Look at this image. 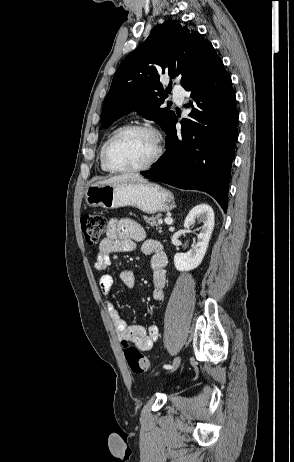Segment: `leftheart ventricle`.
I'll return each instance as SVG.
<instances>
[{
    "label": "left heart ventricle",
    "mask_w": 294,
    "mask_h": 462,
    "mask_svg": "<svg viewBox=\"0 0 294 462\" xmlns=\"http://www.w3.org/2000/svg\"><path fill=\"white\" fill-rule=\"evenodd\" d=\"M155 152V140L145 131L132 130L120 136L110 149L109 159L117 168L143 165Z\"/></svg>",
    "instance_id": "obj_1"
}]
</instances>
